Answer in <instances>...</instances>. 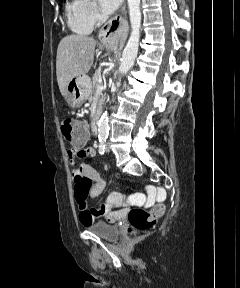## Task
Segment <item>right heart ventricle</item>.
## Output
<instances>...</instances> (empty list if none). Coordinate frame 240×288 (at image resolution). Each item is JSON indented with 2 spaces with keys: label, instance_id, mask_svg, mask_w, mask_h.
I'll return each mask as SVG.
<instances>
[{
  "label": "right heart ventricle",
  "instance_id": "obj_1",
  "mask_svg": "<svg viewBox=\"0 0 240 288\" xmlns=\"http://www.w3.org/2000/svg\"><path fill=\"white\" fill-rule=\"evenodd\" d=\"M66 18L70 29L77 34H89L94 23L88 18L84 0H69L65 7Z\"/></svg>",
  "mask_w": 240,
  "mask_h": 288
}]
</instances>
